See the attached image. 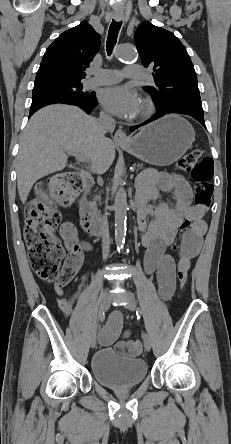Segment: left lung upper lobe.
<instances>
[{
	"label": "left lung upper lobe",
	"mask_w": 231,
	"mask_h": 444,
	"mask_svg": "<svg viewBox=\"0 0 231 444\" xmlns=\"http://www.w3.org/2000/svg\"><path fill=\"white\" fill-rule=\"evenodd\" d=\"M134 42L143 66L153 67V86L144 89L155 97L158 111L203 112L196 72L181 41L172 32L143 22Z\"/></svg>",
	"instance_id": "left-lung-upper-lobe-1"
}]
</instances>
